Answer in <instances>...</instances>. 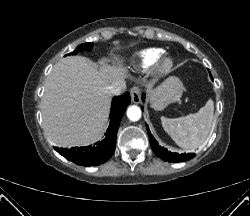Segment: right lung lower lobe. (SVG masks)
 Returning <instances> with one entry per match:
<instances>
[{
  "instance_id": "1",
  "label": "right lung lower lobe",
  "mask_w": 250,
  "mask_h": 216,
  "mask_svg": "<svg viewBox=\"0 0 250 216\" xmlns=\"http://www.w3.org/2000/svg\"><path fill=\"white\" fill-rule=\"evenodd\" d=\"M130 101L131 97L128 92L113 98L109 127L102 141L92 146L69 149L56 147L55 150L66 159L81 166H97L105 163L115 151L118 127Z\"/></svg>"
}]
</instances>
